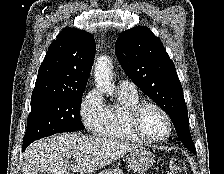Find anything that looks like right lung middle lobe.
I'll return each mask as SVG.
<instances>
[{"mask_svg":"<svg viewBox=\"0 0 224 174\" xmlns=\"http://www.w3.org/2000/svg\"><path fill=\"white\" fill-rule=\"evenodd\" d=\"M82 95L32 97L23 144L56 133L83 130L85 127L80 119Z\"/></svg>","mask_w":224,"mask_h":174,"instance_id":"right-lung-middle-lobe-1","label":"right lung middle lobe"}]
</instances>
